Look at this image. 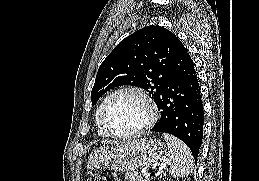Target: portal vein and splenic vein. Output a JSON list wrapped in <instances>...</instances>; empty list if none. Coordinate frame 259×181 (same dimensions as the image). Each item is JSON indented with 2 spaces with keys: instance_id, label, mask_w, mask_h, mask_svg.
Wrapping results in <instances>:
<instances>
[{
  "instance_id": "portal-vein-and-splenic-vein-1",
  "label": "portal vein and splenic vein",
  "mask_w": 259,
  "mask_h": 181,
  "mask_svg": "<svg viewBox=\"0 0 259 181\" xmlns=\"http://www.w3.org/2000/svg\"><path fill=\"white\" fill-rule=\"evenodd\" d=\"M141 173H142L143 176H148L149 175L146 169H143Z\"/></svg>"
}]
</instances>
